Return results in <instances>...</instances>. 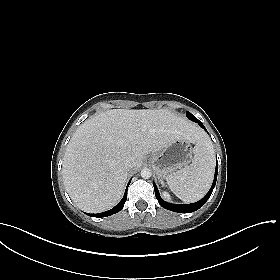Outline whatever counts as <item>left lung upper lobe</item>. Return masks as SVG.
Listing matches in <instances>:
<instances>
[{
  "label": "left lung upper lobe",
  "mask_w": 280,
  "mask_h": 280,
  "mask_svg": "<svg viewBox=\"0 0 280 280\" xmlns=\"http://www.w3.org/2000/svg\"><path fill=\"white\" fill-rule=\"evenodd\" d=\"M186 115L190 120H191L192 117H194L190 112H186ZM195 119H197V118L195 117Z\"/></svg>",
  "instance_id": "left-lung-upper-lobe-1"
}]
</instances>
